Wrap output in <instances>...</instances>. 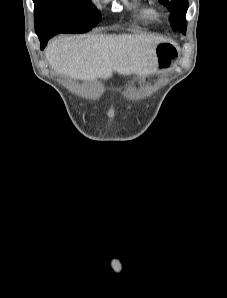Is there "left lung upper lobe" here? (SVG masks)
Returning a JSON list of instances; mask_svg holds the SVG:
<instances>
[{"instance_id":"left-lung-upper-lobe-1","label":"left lung upper lobe","mask_w":227,"mask_h":298,"mask_svg":"<svg viewBox=\"0 0 227 298\" xmlns=\"http://www.w3.org/2000/svg\"><path fill=\"white\" fill-rule=\"evenodd\" d=\"M170 12V22L174 30L186 34L187 22L185 14L188 9V0H159Z\"/></svg>"}]
</instances>
